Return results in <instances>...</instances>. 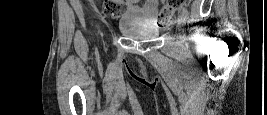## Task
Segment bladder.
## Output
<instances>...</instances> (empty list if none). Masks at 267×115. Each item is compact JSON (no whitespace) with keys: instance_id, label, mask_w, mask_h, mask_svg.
<instances>
[{"instance_id":"31cf9c89","label":"bladder","mask_w":267,"mask_h":115,"mask_svg":"<svg viewBox=\"0 0 267 115\" xmlns=\"http://www.w3.org/2000/svg\"><path fill=\"white\" fill-rule=\"evenodd\" d=\"M121 33L134 39H152L158 36L159 28L150 24H121Z\"/></svg>"}]
</instances>
